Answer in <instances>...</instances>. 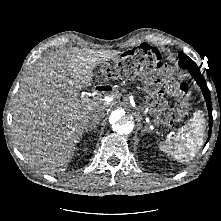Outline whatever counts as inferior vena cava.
Listing matches in <instances>:
<instances>
[{
    "label": "inferior vena cava",
    "mask_w": 221,
    "mask_h": 221,
    "mask_svg": "<svg viewBox=\"0 0 221 221\" xmlns=\"http://www.w3.org/2000/svg\"><path fill=\"white\" fill-rule=\"evenodd\" d=\"M102 118H103V116L100 115V114L92 115V117H91L92 121L90 123V126L98 124L101 121Z\"/></svg>",
    "instance_id": "1"
}]
</instances>
